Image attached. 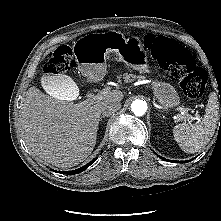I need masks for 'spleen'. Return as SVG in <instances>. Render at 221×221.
<instances>
[{
  "mask_svg": "<svg viewBox=\"0 0 221 221\" xmlns=\"http://www.w3.org/2000/svg\"><path fill=\"white\" fill-rule=\"evenodd\" d=\"M216 98L215 93L210 95L205 115L200 122L181 123L174 127V139L184 152H198L208 144L214 135L219 121V106Z\"/></svg>",
  "mask_w": 221,
  "mask_h": 221,
  "instance_id": "3e777b00",
  "label": "spleen"
}]
</instances>
